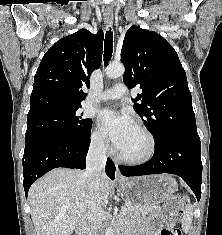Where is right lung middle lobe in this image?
<instances>
[{"label": "right lung middle lobe", "mask_w": 222, "mask_h": 235, "mask_svg": "<svg viewBox=\"0 0 222 235\" xmlns=\"http://www.w3.org/2000/svg\"><path fill=\"white\" fill-rule=\"evenodd\" d=\"M80 108L81 105L59 106L28 116L25 150L50 141L87 140L92 120L82 118Z\"/></svg>", "instance_id": "dd1d6c3e"}]
</instances>
